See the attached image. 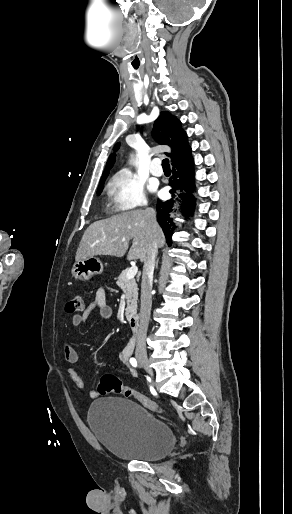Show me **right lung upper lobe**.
<instances>
[{"label": "right lung upper lobe", "instance_id": "1", "mask_svg": "<svg viewBox=\"0 0 292 514\" xmlns=\"http://www.w3.org/2000/svg\"><path fill=\"white\" fill-rule=\"evenodd\" d=\"M153 135L156 141L162 145H168L172 149V164L191 153V147L187 141V134L181 128V122L169 112L163 111L154 124ZM119 149L117 143L113 150ZM115 163V155L111 154L100 181L106 180L110 169Z\"/></svg>", "mask_w": 292, "mask_h": 514}]
</instances>
